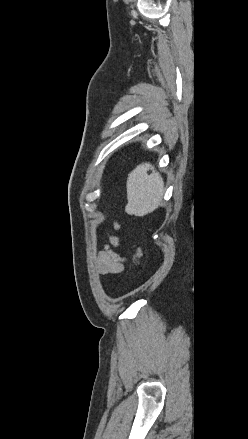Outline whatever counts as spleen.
I'll list each match as a JSON object with an SVG mask.
<instances>
[{"mask_svg":"<svg viewBox=\"0 0 248 439\" xmlns=\"http://www.w3.org/2000/svg\"><path fill=\"white\" fill-rule=\"evenodd\" d=\"M152 171L148 174V171ZM126 211L135 216H144L156 210L164 194L161 175L150 163H142L128 174Z\"/></svg>","mask_w":248,"mask_h":439,"instance_id":"spleen-1","label":"spleen"}]
</instances>
